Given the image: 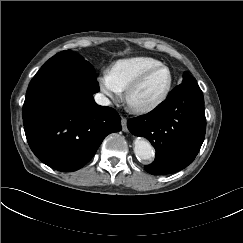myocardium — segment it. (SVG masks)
Wrapping results in <instances>:
<instances>
[{"mask_svg": "<svg viewBox=\"0 0 243 243\" xmlns=\"http://www.w3.org/2000/svg\"><path fill=\"white\" fill-rule=\"evenodd\" d=\"M159 69H165L168 72V82L165 87V89L162 91V93L155 99L142 104H137L133 101V95L134 93L140 88V86L144 83V81L147 79V77L152 74L154 71ZM173 85V75L170 70V68L164 64H159L156 66H153L144 72H142L125 90V102L127 106L138 113H146L150 112L157 107H159L169 96Z\"/></svg>", "mask_w": 243, "mask_h": 243, "instance_id": "1", "label": "myocardium"}]
</instances>
